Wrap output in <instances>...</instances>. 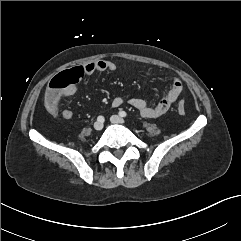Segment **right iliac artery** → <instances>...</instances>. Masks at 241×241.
Returning <instances> with one entry per match:
<instances>
[{
  "label": "right iliac artery",
  "instance_id": "obj_1",
  "mask_svg": "<svg viewBox=\"0 0 241 241\" xmlns=\"http://www.w3.org/2000/svg\"><path fill=\"white\" fill-rule=\"evenodd\" d=\"M97 120L100 121V122H103L104 121V117L103 116H98Z\"/></svg>",
  "mask_w": 241,
  "mask_h": 241
}]
</instances>
